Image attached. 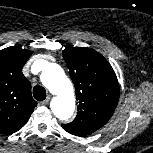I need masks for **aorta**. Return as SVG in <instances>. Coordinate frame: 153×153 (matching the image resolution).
Listing matches in <instances>:
<instances>
[{
    "label": "aorta",
    "mask_w": 153,
    "mask_h": 153,
    "mask_svg": "<svg viewBox=\"0 0 153 153\" xmlns=\"http://www.w3.org/2000/svg\"><path fill=\"white\" fill-rule=\"evenodd\" d=\"M41 82L55 95L51 110L60 120L69 119L75 109V95L71 81L63 69L54 63H46L40 76Z\"/></svg>",
    "instance_id": "1"
}]
</instances>
